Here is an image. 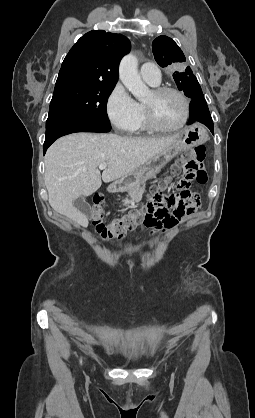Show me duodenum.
Returning a JSON list of instances; mask_svg holds the SVG:
<instances>
[{
    "instance_id": "1",
    "label": "duodenum",
    "mask_w": 255,
    "mask_h": 418,
    "mask_svg": "<svg viewBox=\"0 0 255 418\" xmlns=\"http://www.w3.org/2000/svg\"><path fill=\"white\" fill-rule=\"evenodd\" d=\"M124 187L123 181H116L110 186V192H117Z\"/></svg>"
}]
</instances>
